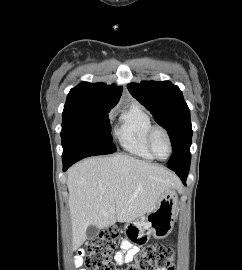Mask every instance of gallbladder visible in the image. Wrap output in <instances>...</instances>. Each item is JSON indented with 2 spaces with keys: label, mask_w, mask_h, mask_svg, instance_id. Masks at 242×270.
<instances>
[{
  "label": "gallbladder",
  "mask_w": 242,
  "mask_h": 270,
  "mask_svg": "<svg viewBox=\"0 0 242 270\" xmlns=\"http://www.w3.org/2000/svg\"><path fill=\"white\" fill-rule=\"evenodd\" d=\"M97 233H98V228L96 226H94V225H89L88 226V228L86 230V234H87V237L89 239L95 238Z\"/></svg>",
  "instance_id": "obj_1"
}]
</instances>
